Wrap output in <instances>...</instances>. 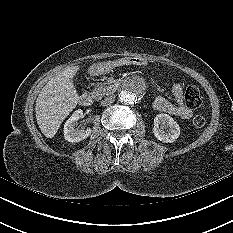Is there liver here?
Masks as SVG:
<instances>
[{
    "label": "liver",
    "instance_id": "liver-1",
    "mask_svg": "<svg viewBox=\"0 0 233 233\" xmlns=\"http://www.w3.org/2000/svg\"><path fill=\"white\" fill-rule=\"evenodd\" d=\"M79 66H71L50 79L40 91L35 106L36 120L41 132L53 138L63 120L76 107L79 95L73 77Z\"/></svg>",
    "mask_w": 233,
    "mask_h": 233
}]
</instances>
